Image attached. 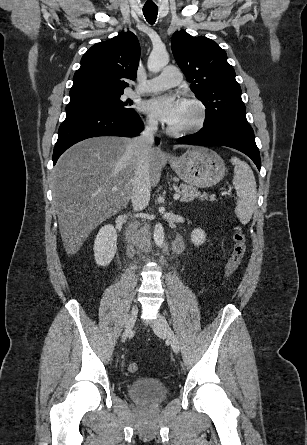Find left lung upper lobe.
Listing matches in <instances>:
<instances>
[{"instance_id": "left-lung-upper-lobe-1", "label": "left lung upper lobe", "mask_w": 307, "mask_h": 445, "mask_svg": "<svg viewBox=\"0 0 307 445\" xmlns=\"http://www.w3.org/2000/svg\"><path fill=\"white\" fill-rule=\"evenodd\" d=\"M171 46L191 90L206 107L204 127L222 122L248 124L241 88L226 52L213 40L183 30L173 34Z\"/></svg>"}]
</instances>
